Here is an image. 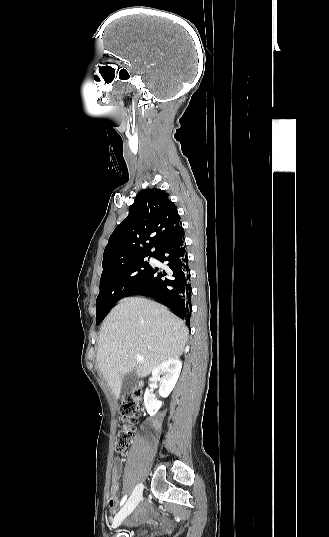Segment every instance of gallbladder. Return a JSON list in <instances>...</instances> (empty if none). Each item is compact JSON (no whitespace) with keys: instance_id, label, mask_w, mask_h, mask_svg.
Returning <instances> with one entry per match:
<instances>
[{"instance_id":"1","label":"gallbladder","mask_w":329,"mask_h":537,"mask_svg":"<svg viewBox=\"0 0 329 537\" xmlns=\"http://www.w3.org/2000/svg\"><path fill=\"white\" fill-rule=\"evenodd\" d=\"M137 373L136 370H132L125 374L122 378L121 394L125 395L131 393L136 388Z\"/></svg>"}]
</instances>
